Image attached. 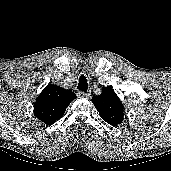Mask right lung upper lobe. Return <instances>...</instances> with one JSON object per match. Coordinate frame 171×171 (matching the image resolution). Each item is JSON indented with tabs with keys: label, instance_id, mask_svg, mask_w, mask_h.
Instances as JSON below:
<instances>
[{
	"label": "right lung upper lobe",
	"instance_id": "right-lung-upper-lobe-1",
	"mask_svg": "<svg viewBox=\"0 0 171 171\" xmlns=\"http://www.w3.org/2000/svg\"><path fill=\"white\" fill-rule=\"evenodd\" d=\"M76 95L71 90L49 84L38 96L34 106L35 116L47 125L58 121Z\"/></svg>",
	"mask_w": 171,
	"mask_h": 171
}]
</instances>
